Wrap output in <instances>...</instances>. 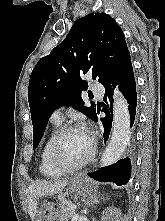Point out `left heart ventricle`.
<instances>
[{
  "instance_id": "b2bd125f",
  "label": "left heart ventricle",
  "mask_w": 165,
  "mask_h": 221,
  "mask_svg": "<svg viewBox=\"0 0 165 221\" xmlns=\"http://www.w3.org/2000/svg\"><path fill=\"white\" fill-rule=\"evenodd\" d=\"M91 138L84 130H74L66 134L58 148V157L67 165L82 161L90 152Z\"/></svg>"
}]
</instances>
